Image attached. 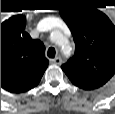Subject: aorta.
<instances>
[{"mask_svg":"<svg viewBox=\"0 0 115 114\" xmlns=\"http://www.w3.org/2000/svg\"><path fill=\"white\" fill-rule=\"evenodd\" d=\"M57 34H58V36H59V39H64V40H66L61 33H57Z\"/></svg>","mask_w":115,"mask_h":114,"instance_id":"762f6f07","label":"aorta"}]
</instances>
